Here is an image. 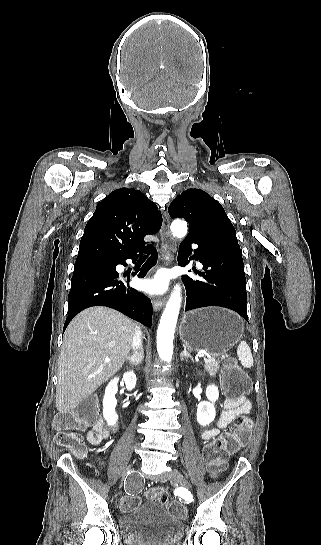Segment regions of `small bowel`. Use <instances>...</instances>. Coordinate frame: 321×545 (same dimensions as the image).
I'll list each match as a JSON object with an SVG mask.
<instances>
[{
    "mask_svg": "<svg viewBox=\"0 0 321 545\" xmlns=\"http://www.w3.org/2000/svg\"><path fill=\"white\" fill-rule=\"evenodd\" d=\"M251 409V402L244 396L236 399L226 398L222 403V411L217 421V426L212 429H206L201 432V437L204 440L215 438L220 430L227 427L237 416L248 413ZM109 429L104 425L102 420H98L87 435V439L91 444H99L109 437Z\"/></svg>",
    "mask_w": 321,
    "mask_h": 545,
    "instance_id": "obj_1",
    "label": "small bowel"
}]
</instances>
